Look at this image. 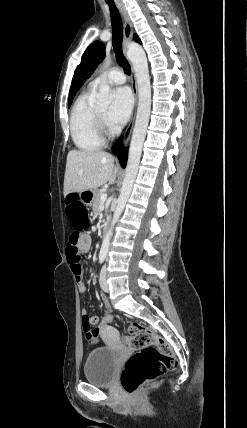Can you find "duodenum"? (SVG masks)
I'll list each match as a JSON object with an SVG mask.
<instances>
[{
    "label": "duodenum",
    "instance_id": "obj_1",
    "mask_svg": "<svg viewBox=\"0 0 247 428\" xmlns=\"http://www.w3.org/2000/svg\"><path fill=\"white\" fill-rule=\"evenodd\" d=\"M107 229H108V223L106 222V223L103 225V235H105V233H106Z\"/></svg>",
    "mask_w": 247,
    "mask_h": 428
}]
</instances>
